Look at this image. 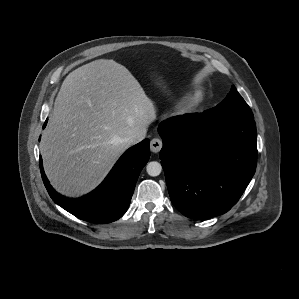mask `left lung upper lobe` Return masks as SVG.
<instances>
[{
	"mask_svg": "<svg viewBox=\"0 0 299 299\" xmlns=\"http://www.w3.org/2000/svg\"><path fill=\"white\" fill-rule=\"evenodd\" d=\"M204 113L209 118L220 121L254 119L250 107L235 87L220 104Z\"/></svg>",
	"mask_w": 299,
	"mask_h": 299,
	"instance_id": "1",
	"label": "left lung upper lobe"
}]
</instances>
